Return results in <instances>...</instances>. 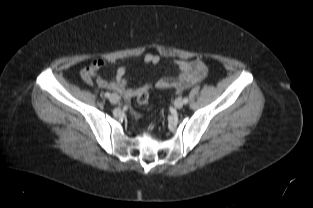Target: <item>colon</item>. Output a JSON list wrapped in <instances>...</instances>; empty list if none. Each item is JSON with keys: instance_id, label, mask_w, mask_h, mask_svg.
I'll list each match as a JSON object with an SVG mask.
<instances>
[{"instance_id": "5ec220e1", "label": "colon", "mask_w": 313, "mask_h": 208, "mask_svg": "<svg viewBox=\"0 0 313 208\" xmlns=\"http://www.w3.org/2000/svg\"><path fill=\"white\" fill-rule=\"evenodd\" d=\"M148 99H149V94L146 90H142L136 95V101L138 105L142 107L148 104Z\"/></svg>"}]
</instances>
